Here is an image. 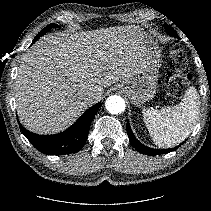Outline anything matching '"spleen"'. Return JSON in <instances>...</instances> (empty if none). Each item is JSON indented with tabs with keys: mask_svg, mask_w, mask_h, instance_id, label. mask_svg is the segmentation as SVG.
Segmentation results:
<instances>
[{
	"mask_svg": "<svg viewBox=\"0 0 211 211\" xmlns=\"http://www.w3.org/2000/svg\"><path fill=\"white\" fill-rule=\"evenodd\" d=\"M200 111L199 94L190 87L178 105L161 111L143 109V119L152 140L159 147L183 142L192 132Z\"/></svg>",
	"mask_w": 211,
	"mask_h": 211,
	"instance_id": "spleen-1",
	"label": "spleen"
}]
</instances>
